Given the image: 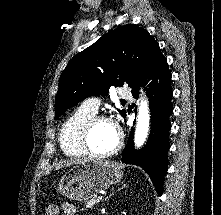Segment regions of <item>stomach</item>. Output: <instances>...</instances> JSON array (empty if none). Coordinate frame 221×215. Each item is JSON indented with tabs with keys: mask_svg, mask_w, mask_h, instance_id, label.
Instances as JSON below:
<instances>
[{
	"mask_svg": "<svg viewBox=\"0 0 221 215\" xmlns=\"http://www.w3.org/2000/svg\"><path fill=\"white\" fill-rule=\"evenodd\" d=\"M123 172L120 166L111 161L89 159L65 173L58 191L76 201H86L100 191L120 182Z\"/></svg>",
	"mask_w": 221,
	"mask_h": 215,
	"instance_id": "0dacf381",
	"label": "stomach"
}]
</instances>
